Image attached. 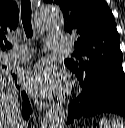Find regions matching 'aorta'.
I'll list each match as a JSON object with an SVG mask.
<instances>
[{"instance_id": "1", "label": "aorta", "mask_w": 125, "mask_h": 128, "mask_svg": "<svg viewBox=\"0 0 125 128\" xmlns=\"http://www.w3.org/2000/svg\"><path fill=\"white\" fill-rule=\"evenodd\" d=\"M35 24L43 31H55L62 27L61 10L51 4L39 7L35 15ZM66 110L62 104H56L47 113L41 128H65Z\"/></svg>"}]
</instances>
